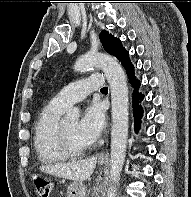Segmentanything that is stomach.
<instances>
[{"label": "stomach", "mask_w": 191, "mask_h": 197, "mask_svg": "<svg viewBox=\"0 0 191 197\" xmlns=\"http://www.w3.org/2000/svg\"><path fill=\"white\" fill-rule=\"evenodd\" d=\"M105 161H99V164H104ZM86 188L82 182L74 181L67 188V197H85Z\"/></svg>", "instance_id": "1"}]
</instances>
